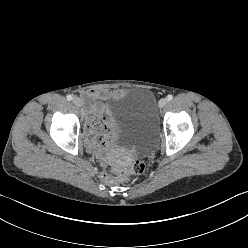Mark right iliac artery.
I'll return each instance as SVG.
<instances>
[{"label": "right iliac artery", "mask_w": 248, "mask_h": 248, "mask_svg": "<svg viewBox=\"0 0 248 248\" xmlns=\"http://www.w3.org/2000/svg\"><path fill=\"white\" fill-rule=\"evenodd\" d=\"M73 97L71 95H67V100L71 101Z\"/></svg>", "instance_id": "1"}]
</instances>
